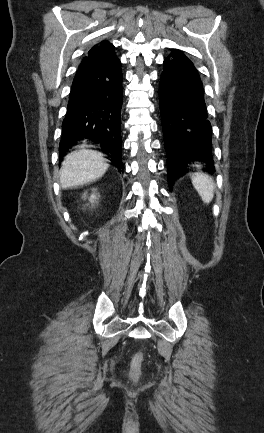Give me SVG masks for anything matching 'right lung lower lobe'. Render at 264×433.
<instances>
[{"mask_svg":"<svg viewBox=\"0 0 264 433\" xmlns=\"http://www.w3.org/2000/svg\"><path fill=\"white\" fill-rule=\"evenodd\" d=\"M122 70L116 54L91 51L74 77L62 123L60 155L74 141L91 139L123 169L121 142Z\"/></svg>","mask_w":264,"mask_h":433,"instance_id":"obj_1","label":"right lung lower lobe"}]
</instances>
